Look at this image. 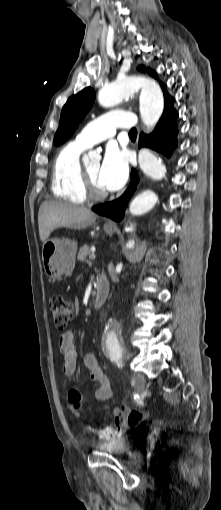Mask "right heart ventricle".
Listing matches in <instances>:
<instances>
[{
  "label": "right heart ventricle",
  "mask_w": 221,
  "mask_h": 510,
  "mask_svg": "<svg viewBox=\"0 0 221 510\" xmlns=\"http://www.w3.org/2000/svg\"><path fill=\"white\" fill-rule=\"evenodd\" d=\"M85 149L86 147L72 141L57 154L53 163L51 183V192L55 197L74 204H83L86 201L80 162V156Z\"/></svg>",
  "instance_id": "obj_1"
}]
</instances>
